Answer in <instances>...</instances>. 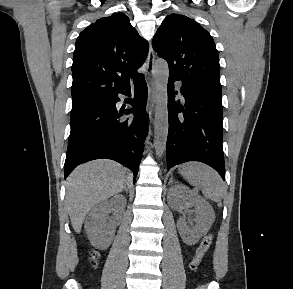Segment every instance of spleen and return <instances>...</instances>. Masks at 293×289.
Instances as JSON below:
<instances>
[{"label": "spleen", "instance_id": "1", "mask_svg": "<svg viewBox=\"0 0 293 289\" xmlns=\"http://www.w3.org/2000/svg\"><path fill=\"white\" fill-rule=\"evenodd\" d=\"M181 174L187 181L202 190L203 195L215 202H220L226 188L219 174L200 162H189L181 167Z\"/></svg>", "mask_w": 293, "mask_h": 289}]
</instances>
